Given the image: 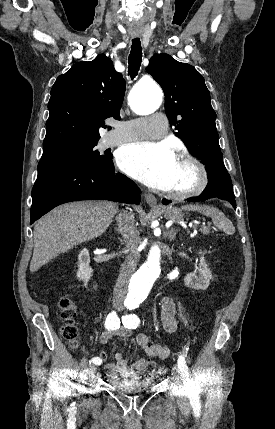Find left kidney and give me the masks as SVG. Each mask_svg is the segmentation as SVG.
Returning <instances> with one entry per match:
<instances>
[{"mask_svg": "<svg viewBox=\"0 0 275 429\" xmlns=\"http://www.w3.org/2000/svg\"><path fill=\"white\" fill-rule=\"evenodd\" d=\"M211 277L212 273L206 264L205 258L201 256L200 263L195 271L185 276L184 284L186 287L195 290H206L209 287Z\"/></svg>", "mask_w": 275, "mask_h": 429, "instance_id": "obj_1", "label": "left kidney"}]
</instances>
